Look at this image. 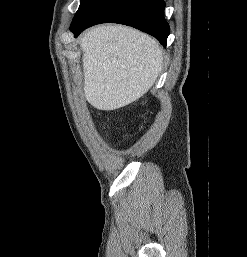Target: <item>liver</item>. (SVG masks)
<instances>
[{
    "label": "liver",
    "mask_w": 247,
    "mask_h": 257,
    "mask_svg": "<svg viewBox=\"0 0 247 257\" xmlns=\"http://www.w3.org/2000/svg\"><path fill=\"white\" fill-rule=\"evenodd\" d=\"M84 96L96 109L111 111L142 97L157 80L162 49L149 35L123 25H100L80 38Z\"/></svg>",
    "instance_id": "1"
}]
</instances>
